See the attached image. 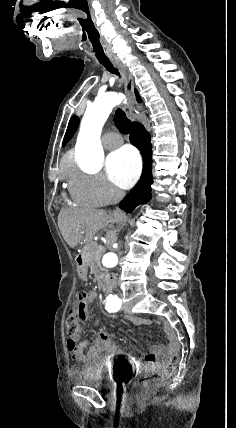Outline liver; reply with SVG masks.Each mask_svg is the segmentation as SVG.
<instances>
[{"label":"liver","mask_w":236,"mask_h":428,"mask_svg":"<svg viewBox=\"0 0 236 428\" xmlns=\"http://www.w3.org/2000/svg\"><path fill=\"white\" fill-rule=\"evenodd\" d=\"M110 216L104 210H83V212H60L58 228L68 246L75 248L79 242H91L99 230L108 226ZM111 242H116L114 232H111Z\"/></svg>","instance_id":"6515ba94"}]
</instances>
